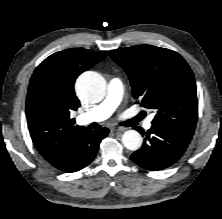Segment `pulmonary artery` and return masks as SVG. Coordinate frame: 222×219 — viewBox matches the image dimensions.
<instances>
[{
  "mask_svg": "<svg viewBox=\"0 0 222 219\" xmlns=\"http://www.w3.org/2000/svg\"><path fill=\"white\" fill-rule=\"evenodd\" d=\"M123 94V83L120 78H112L108 84V91L105 100L77 117L79 124L85 125L92 122H101L109 118L121 102ZM145 128H151V119L145 123Z\"/></svg>",
  "mask_w": 222,
  "mask_h": 219,
  "instance_id": "pulmonary-artery-1",
  "label": "pulmonary artery"
}]
</instances>
